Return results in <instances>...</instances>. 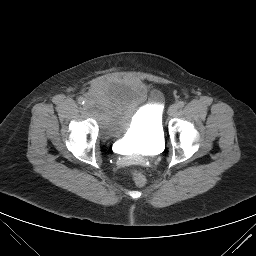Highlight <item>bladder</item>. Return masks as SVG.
I'll return each mask as SVG.
<instances>
[{"label": "bladder", "instance_id": "1", "mask_svg": "<svg viewBox=\"0 0 256 256\" xmlns=\"http://www.w3.org/2000/svg\"><path fill=\"white\" fill-rule=\"evenodd\" d=\"M162 93L131 80L104 79L87 95V108L104 138L156 149L164 141Z\"/></svg>", "mask_w": 256, "mask_h": 256}]
</instances>
